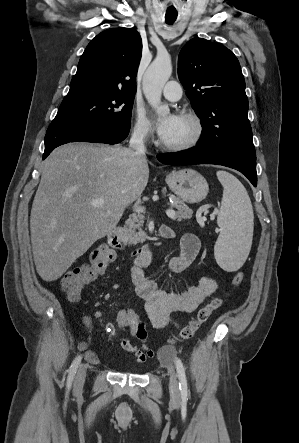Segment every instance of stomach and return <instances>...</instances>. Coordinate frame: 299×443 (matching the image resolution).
<instances>
[{
  "mask_svg": "<svg viewBox=\"0 0 299 443\" xmlns=\"http://www.w3.org/2000/svg\"><path fill=\"white\" fill-rule=\"evenodd\" d=\"M166 183L174 194L190 204L202 201L209 190L205 178L191 168L171 172L166 177Z\"/></svg>",
  "mask_w": 299,
  "mask_h": 443,
  "instance_id": "obj_1",
  "label": "stomach"
}]
</instances>
